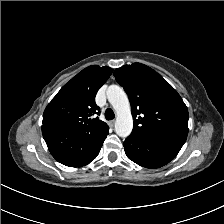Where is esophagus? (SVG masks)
<instances>
[{"instance_id":"34e87169","label":"esophagus","mask_w":224,"mask_h":224,"mask_svg":"<svg viewBox=\"0 0 224 224\" xmlns=\"http://www.w3.org/2000/svg\"><path fill=\"white\" fill-rule=\"evenodd\" d=\"M114 125H115V120H111V121H109V126H110V127H114Z\"/></svg>"}]
</instances>
